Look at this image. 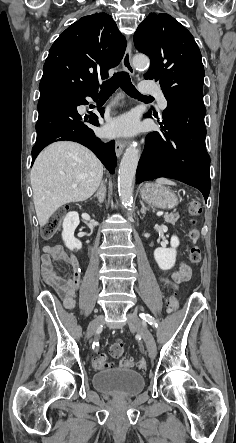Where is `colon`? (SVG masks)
<instances>
[{"instance_id":"colon-1","label":"colon","mask_w":236,"mask_h":443,"mask_svg":"<svg viewBox=\"0 0 236 443\" xmlns=\"http://www.w3.org/2000/svg\"><path fill=\"white\" fill-rule=\"evenodd\" d=\"M188 213L192 217H197L201 213V205L198 200H190L188 203ZM62 221V215L56 213L52 215L41 227V235L44 239H51L58 231ZM200 233L197 228H192L189 231V238L196 243L199 240ZM189 257L191 262L198 263L201 260V251L198 246H193L190 249ZM171 308L176 310L178 305L174 297L170 298ZM110 355L114 358H120L124 352V344L122 341H116L110 346ZM92 366L95 369L103 370L107 369L110 364L106 357L103 355H96L92 358ZM120 365L124 368H131L134 365V361L131 358L123 359L120 361ZM139 367L144 370L147 368V362L144 358L139 361Z\"/></svg>"}]
</instances>
